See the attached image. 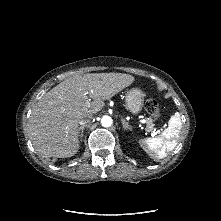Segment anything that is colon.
Masks as SVG:
<instances>
[{"instance_id": "1", "label": "colon", "mask_w": 221, "mask_h": 221, "mask_svg": "<svg viewBox=\"0 0 221 221\" xmlns=\"http://www.w3.org/2000/svg\"><path fill=\"white\" fill-rule=\"evenodd\" d=\"M146 111L154 118H158L160 115V108L156 100L150 98L145 102Z\"/></svg>"}]
</instances>
